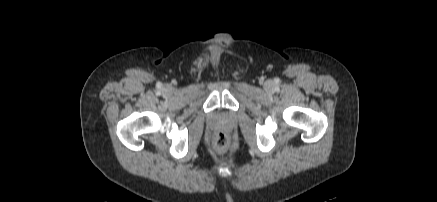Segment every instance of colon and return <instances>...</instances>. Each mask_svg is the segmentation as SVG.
Returning a JSON list of instances; mask_svg holds the SVG:
<instances>
[{"label":"colon","mask_w":437,"mask_h":202,"mask_svg":"<svg viewBox=\"0 0 437 202\" xmlns=\"http://www.w3.org/2000/svg\"><path fill=\"white\" fill-rule=\"evenodd\" d=\"M214 146L218 151H225L229 146V138L225 133H218L214 139Z\"/></svg>","instance_id":"5ec220e1"}]
</instances>
